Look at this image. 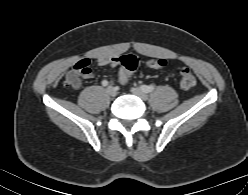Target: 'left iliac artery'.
<instances>
[{
	"mask_svg": "<svg viewBox=\"0 0 248 195\" xmlns=\"http://www.w3.org/2000/svg\"><path fill=\"white\" fill-rule=\"evenodd\" d=\"M141 90L144 91L145 93H150L155 90V87L152 85H141L140 86Z\"/></svg>",
	"mask_w": 248,
	"mask_h": 195,
	"instance_id": "obj_1",
	"label": "left iliac artery"
}]
</instances>
